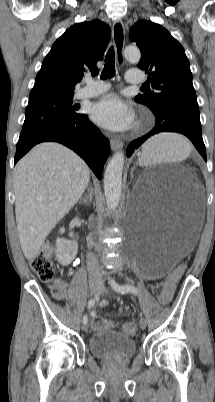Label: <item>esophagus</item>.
Returning a JSON list of instances; mask_svg holds the SVG:
<instances>
[{"label":"esophagus","mask_w":215,"mask_h":402,"mask_svg":"<svg viewBox=\"0 0 215 402\" xmlns=\"http://www.w3.org/2000/svg\"><path fill=\"white\" fill-rule=\"evenodd\" d=\"M112 37L113 43L116 50V57L118 64L123 63V49L125 44V31L123 23L117 20L113 23L112 27ZM111 149L113 151L121 149L123 147V142L118 139H111L110 141Z\"/></svg>","instance_id":"34e87169"}]
</instances>
